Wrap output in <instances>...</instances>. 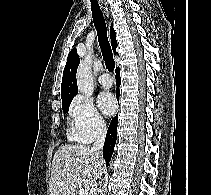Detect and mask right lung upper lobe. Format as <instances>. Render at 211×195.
<instances>
[{"instance_id":"right-lung-upper-lobe-1","label":"right lung upper lobe","mask_w":211,"mask_h":195,"mask_svg":"<svg viewBox=\"0 0 211 195\" xmlns=\"http://www.w3.org/2000/svg\"><path fill=\"white\" fill-rule=\"evenodd\" d=\"M115 31L113 29V25L111 24L110 28V36H111V44L114 53H116L117 42L115 39ZM80 63L79 56L77 54V50L73 48L67 58V63L64 68L62 84H61V99L62 103L72 101L73 97L78 92L77 81H76V71L77 67Z\"/></svg>"}]
</instances>
